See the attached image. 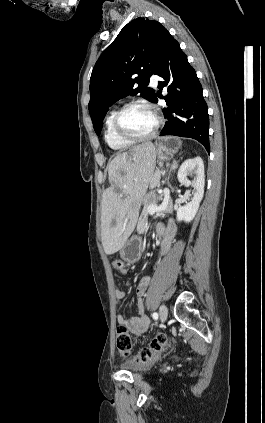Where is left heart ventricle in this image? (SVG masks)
Returning a JSON list of instances; mask_svg holds the SVG:
<instances>
[{"label":"left heart ventricle","mask_w":265,"mask_h":423,"mask_svg":"<svg viewBox=\"0 0 265 423\" xmlns=\"http://www.w3.org/2000/svg\"><path fill=\"white\" fill-rule=\"evenodd\" d=\"M154 125L155 118L153 114L142 107H135L128 110L122 119L124 130L134 136L148 134Z\"/></svg>","instance_id":"obj_1"}]
</instances>
